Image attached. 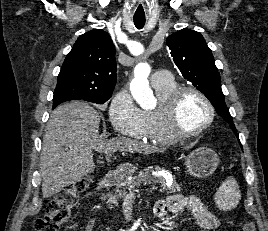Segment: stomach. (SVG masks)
Segmentation results:
<instances>
[{
    "mask_svg": "<svg viewBox=\"0 0 268 231\" xmlns=\"http://www.w3.org/2000/svg\"><path fill=\"white\" fill-rule=\"evenodd\" d=\"M219 163L218 155L215 151L207 147H199L185 156V172L196 178L210 176ZM134 168L126 166V172L130 173Z\"/></svg>",
    "mask_w": 268,
    "mask_h": 231,
    "instance_id": "obj_1",
    "label": "stomach"
}]
</instances>
